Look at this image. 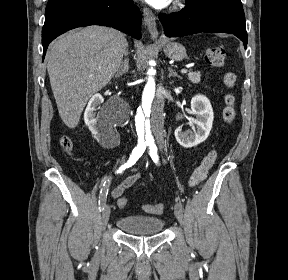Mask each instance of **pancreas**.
Masks as SVG:
<instances>
[{
    "label": "pancreas",
    "mask_w": 288,
    "mask_h": 280,
    "mask_svg": "<svg viewBox=\"0 0 288 280\" xmlns=\"http://www.w3.org/2000/svg\"><path fill=\"white\" fill-rule=\"evenodd\" d=\"M187 76L192 83H200L201 81V73L199 71H190Z\"/></svg>",
    "instance_id": "1"
}]
</instances>
